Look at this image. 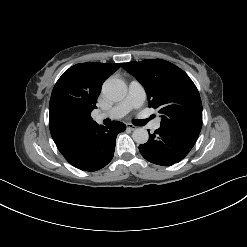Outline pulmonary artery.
I'll list each match as a JSON object with an SVG mask.
<instances>
[{"label": "pulmonary artery", "instance_id": "1", "mask_svg": "<svg viewBox=\"0 0 247 247\" xmlns=\"http://www.w3.org/2000/svg\"><path fill=\"white\" fill-rule=\"evenodd\" d=\"M145 100V91L140 82L132 80L128 86V94L123 101L96 115V120L101 121L104 118L119 119L125 116L132 109L142 106ZM151 129L155 130L160 127V120L155 119L150 124Z\"/></svg>", "mask_w": 247, "mask_h": 247}]
</instances>
